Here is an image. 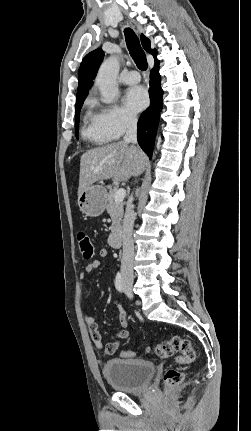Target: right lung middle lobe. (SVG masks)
<instances>
[{"instance_id": "1", "label": "right lung middle lobe", "mask_w": 251, "mask_h": 431, "mask_svg": "<svg viewBox=\"0 0 251 431\" xmlns=\"http://www.w3.org/2000/svg\"><path fill=\"white\" fill-rule=\"evenodd\" d=\"M84 100H85V98L76 100V110H75V130H76V136L78 135L80 110H81V107H82V104H83Z\"/></svg>"}]
</instances>
